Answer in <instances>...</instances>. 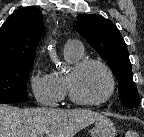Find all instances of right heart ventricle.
Listing matches in <instances>:
<instances>
[{
  "label": "right heart ventricle",
  "mask_w": 144,
  "mask_h": 137,
  "mask_svg": "<svg viewBox=\"0 0 144 137\" xmlns=\"http://www.w3.org/2000/svg\"><path fill=\"white\" fill-rule=\"evenodd\" d=\"M83 56V48H79L74 43H67L64 47V57L69 64H73L80 60ZM56 88L58 90L60 101L67 96L66 84H65V75L61 72L55 71L51 73Z\"/></svg>",
  "instance_id": "e07e8e85"
}]
</instances>
